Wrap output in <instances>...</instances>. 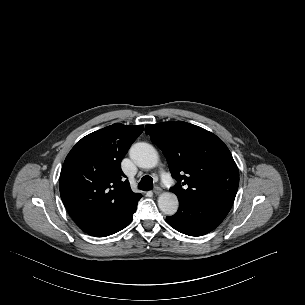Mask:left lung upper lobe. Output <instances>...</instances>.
Returning a JSON list of instances; mask_svg holds the SVG:
<instances>
[{
    "instance_id": "left-lung-upper-lobe-1",
    "label": "left lung upper lobe",
    "mask_w": 305,
    "mask_h": 305,
    "mask_svg": "<svg viewBox=\"0 0 305 305\" xmlns=\"http://www.w3.org/2000/svg\"><path fill=\"white\" fill-rule=\"evenodd\" d=\"M145 131L167 157L178 181L179 200L234 202L239 171L227 146L213 133L183 121L146 125Z\"/></svg>"
}]
</instances>
